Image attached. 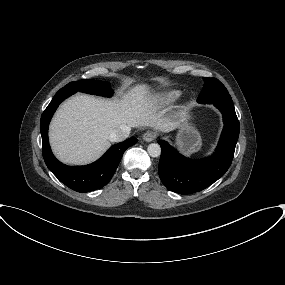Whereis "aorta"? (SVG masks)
Masks as SVG:
<instances>
[{"label": "aorta", "instance_id": "aorta-1", "mask_svg": "<svg viewBox=\"0 0 285 285\" xmlns=\"http://www.w3.org/2000/svg\"><path fill=\"white\" fill-rule=\"evenodd\" d=\"M147 151H148V154H149L151 157H158V156H160V154H161L160 145L157 144V143H151V144H149L148 147H147Z\"/></svg>", "mask_w": 285, "mask_h": 285}]
</instances>
